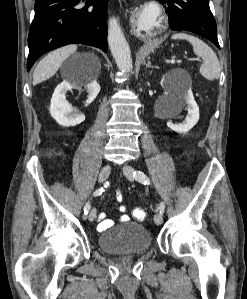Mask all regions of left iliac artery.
Instances as JSON below:
<instances>
[{"label":"left iliac artery","mask_w":247,"mask_h":299,"mask_svg":"<svg viewBox=\"0 0 247 299\" xmlns=\"http://www.w3.org/2000/svg\"><path fill=\"white\" fill-rule=\"evenodd\" d=\"M133 177L142 184H150L149 178L142 171H135ZM165 211V204L161 202L159 205V212L162 215Z\"/></svg>","instance_id":"1"}]
</instances>
